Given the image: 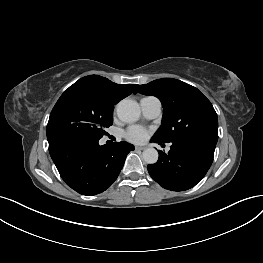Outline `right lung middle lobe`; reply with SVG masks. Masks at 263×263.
Masks as SVG:
<instances>
[{
  "label": "right lung middle lobe",
  "instance_id": "obj_1",
  "mask_svg": "<svg viewBox=\"0 0 263 263\" xmlns=\"http://www.w3.org/2000/svg\"><path fill=\"white\" fill-rule=\"evenodd\" d=\"M113 109L86 92L63 93L49 117L48 142L72 137L102 138L112 125Z\"/></svg>",
  "mask_w": 263,
  "mask_h": 263
}]
</instances>
